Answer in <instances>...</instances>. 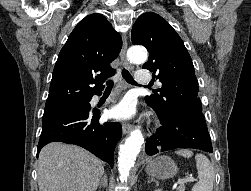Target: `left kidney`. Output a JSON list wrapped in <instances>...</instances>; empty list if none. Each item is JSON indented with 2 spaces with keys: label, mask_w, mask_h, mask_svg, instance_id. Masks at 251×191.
<instances>
[{
  "label": "left kidney",
  "mask_w": 251,
  "mask_h": 191,
  "mask_svg": "<svg viewBox=\"0 0 251 191\" xmlns=\"http://www.w3.org/2000/svg\"><path fill=\"white\" fill-rule=\"evenodd\" d=\"M155 191H162V189H155Z\"/></svg>",
  "instance_id": "1"
}]
</instances>
